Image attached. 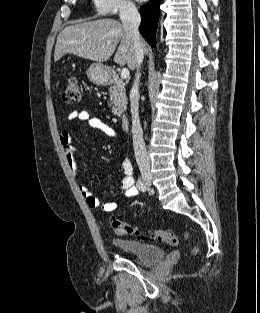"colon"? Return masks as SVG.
I'll return each instance as SVG.
<instances>
[{
  "label": "colon",
  "instance_id": "1",
  "mask_svg": "<svg viewBox=\"0 0 260 313\" xmlns=\"http://www.w3.org/2000/svg\"><path fill=\"white\" fill-rule=\"evenodd\" d=\"M62 97L65 102H77L81 99V89L76 78H70L67 80ZM110 226L113 231L120 236L137 237L143 240L151 239L172 246H176L178 244L177 236L169 230L154 229L144 231L117 218H112L110 220ZM189 236L190 233L187 232L185 234V238H188ZM200 246L201 243L197 242L192 249V253L197 254L200 250Z\"/></svg>",
  "mask_w": 260,
  "mask_h": 313
}]
</instances>
